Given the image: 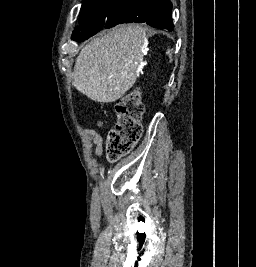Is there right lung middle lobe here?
Listing matches in <instances>:
<instances>
[{"label":"right lung middle lobe","mask_w":256,"mask_h":267,"mask_svg":"<svg viewBox=\"0 0 256 267\" xmlns=\"http://www.w3.org/2000/svg\"><path fill=\"white\" fill-rule=\"evenodd\" d=\"M139 1L83 0L80 11V29L73 32L72 38L81 42L93 36L99 30L111 27Z\"/></svg>","instance_id":"dd1d6c3e"}]
</instances>
